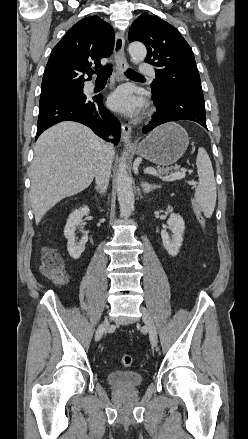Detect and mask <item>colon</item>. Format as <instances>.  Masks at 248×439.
<instances>
[{
	"instance_id": "5ec220e1",
	"label": "colon",
	"mask_w": 248,
	"mask_h": 439,
	"mask_svg": "<svg viewBox=\"0 0 248 439\" xmlns=\"http://www.w3.org/2000/svg\"><path fill=\"white\" fill-rule=\"evenodd\" d=\"M191 202L195 218L201 228L204 229L206 219L196 200L192 198ZM41 272L56 284L65 283L67 280L65 263L62 257L50 248H44L42 251ZM120 362L123 366L129 367L133 362V358L131 355L124 354L120 357Z\"/></svg>"
}]
</instances>
